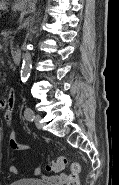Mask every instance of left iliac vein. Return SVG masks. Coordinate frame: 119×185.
<instances>
[{
  "label": "left iliac vein",
  "mask_w": 119,
  "mask_h": 185,
  "mask_svg": "<svg viewBox=\"0 0 119 185\" xmlns=\"http://www.w3.org/2000/svg\"><path fill=\"white\" fill-rule=\"evenodd\" d=\"M40 120H41V116L40 115H35L34 117V123H35V126L40 129L41 128V123H40Z\"/></svg>",
  "instance_id": "left-iliac-vein-1"
}]
</instances>
